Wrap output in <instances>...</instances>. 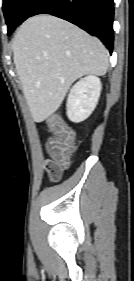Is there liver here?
I'll use <instances>...</instances> for the list:
<instances>
[{"instance_id":"liver-1","label":"liver","mask_w":134,"mask_h":281,"mask_svg":"<svg viewBox=\"0 0 134 281\" xmlns=\"http://www.w3.org/2000/svg\"><path fill=\"white\" fill-rule=\"evenodd\" d=\"M12 50L35 122L58 110L76 79L105 75L109 65L108 51L98 38L52 15L27 19L14 36Z\"/></svg>"}]
</instances>
